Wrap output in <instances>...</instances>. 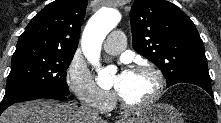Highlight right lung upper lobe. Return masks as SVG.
I'll use <instances>...</instances> for the list:
<instances>
[{
  "mask_svg": "<svg viewBox=\"0 0 221 123\" xmlns=\"http://www.w3.org/2000/svg\"><path fill=\"white\" fill-rule=\"evenodd\" d=\"M88 0H56L43 8L19 37L16 51L75 53Z\"/></svg>",
  "mask_w": 221,
  "mask_h": 123,
  "instance_id": "1",
  "label": "right lung upper lobe"
}]
</instances>
